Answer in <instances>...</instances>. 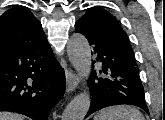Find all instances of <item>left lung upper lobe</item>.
I'll list each match as a JSON object with an SVG mask.
<instances>
[{"instance_id": "1", "label": "left lung upper lobe", "mask_w": 165, "mask_h": 120, "mask_svg": "<svg viewBox=\"0 0 165 120\" xmlns=\"http://www.w3.org/2000/svg\"><path fill=\"white\" fill-rule=\"evenodd\" d=\"M79 20H82L93 32L123 49L134 58V52L129 44L126 32L108 11L95 6L89 8Z\"/></svg>"}]
</instances>
